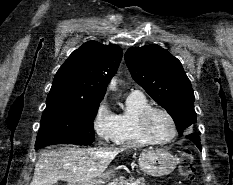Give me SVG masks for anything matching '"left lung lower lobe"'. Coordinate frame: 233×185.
<instances>
[{"mask_svg": "<svg viewBox=\"0 0 233 185\" xmlns=\"http://www.w3.org/2000/svg\"><path fill=\"white\" fill-rule=\"evenodd\" d=\"M186 138L190 139L197 147L198 149L201 151V144H200V138L197 134H189L185 136Z\"/></svg>", "mask_w": 233, "mask_h": 185, "instance_id": "1", "label": "left lung lower lobe"}]
</instances>
